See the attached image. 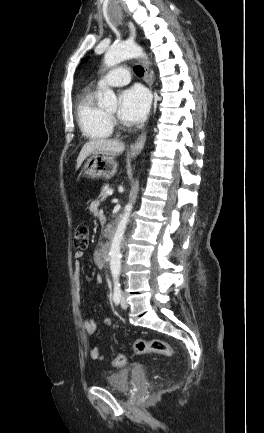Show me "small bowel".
Instances as JSON below:
<instances>
[{"label":"small bowel","mask_w":264,"mask_h":433,"mask_svg":"<svg viewBox=\"0 0 264 433\" xmlns=\"http://www.w3.org/2000/svg\"><path fill=\"white\" fill-rule=\"evenodd\" d=\"M99 207H100V202L98 200H93L89 205V210L93 214L99 215ZM83 257H84V253L82 251H78L74 255V258H75L74 279L76 281V295H77L78 303H80V301H81V298H80V279H81L82 271H83V267L81 264V260ZM102 282H103V277L101 275H97L94 279V285H96V286L100 285V284H102ZM103 322L106 325H111L112 319L109 317H106V318H104ZM83 327H84L85 332L89 335H93L97 330V324L91 318L84 320ZM89 356L94 361H101L103 358V356L101 354V350L99 347H91L89 350Z\"/></svg>","instance_id":"small-bowel-1"}]
</instances>
